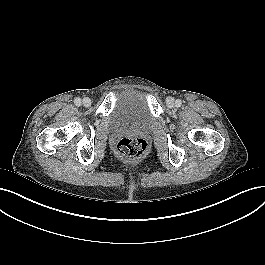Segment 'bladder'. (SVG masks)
<instances>
[{
	"instance_id": "bladder-1",
	"label": "bladder",
	"mask_w": 265,
	"mask_h": 265,
	"mask_svg": "<svg viewBox=\"0 0 265 265\" xmlns=\"http://www.w3.org/2000/svg\"><path fill=\"white\" fill-rule=\"evenodd\" d=\"M109 123L113 128L146 130L155 118L152 113L147 91L137 87H127L115 98L109 114Z\"/></svg>"
}]
</instances>
